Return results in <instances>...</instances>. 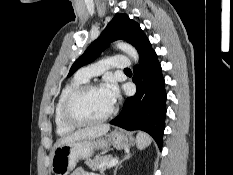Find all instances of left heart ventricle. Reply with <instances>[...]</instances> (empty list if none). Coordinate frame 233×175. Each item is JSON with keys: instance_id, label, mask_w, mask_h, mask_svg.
Instances as JSON below:
<instances>
[{"instance_id": "b2bd125f", "label": "left heart ventricle", "mask_w": 233, "mask_h": 175, "mask_svg": "<svg viewBox=\"0 0 233 175\" xmlns=\"http://www.w3.org/2000/svg\"><path fill=\"white\" fill-rule=\"evenodd\" d=\"M113 105L101 88L92 90L82 96L75 106V112L82 118H99L107 114Z\"/></svg>"}]
</instances>
